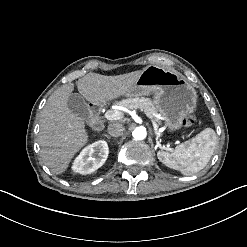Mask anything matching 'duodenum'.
Masks as SVG:
<instances>
[{
	"mask_svg": "<svg viewBox=\"0 0 247 247\" xmlns=\"http://www.w3.org/2000/svg\"><path fill=\"white\" fill-rule=\"evenodd\" d=\"M89 112H90V118L92 119L95 128L99 130L103 129L104 121L101 118L100 107L95 104H91L89 106Z\"/></svg>",
	"mask_w": 247,
	"mask_h": 247,
	"instance_id": "1",
	"label": "duodenum"
}]
</instances>
